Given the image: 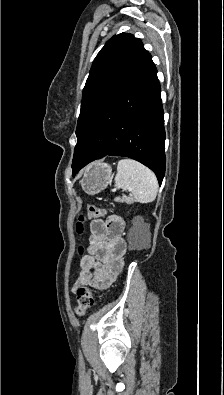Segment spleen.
Segmentation results:
<instances>
[{
  "label": "spleen",
  "mask_w": 224,
  "mask_h": 395,
  "mask_svg": "<svg viewBox=\"0 0 224 395\" xmlns=\"http://www.w3.org/2000/svg\"><path fill=\"white\" fill-rule=\"evenodd\" d=\"M115 186L129 191L134 200L149 203L155 200L158 181L155 174L146 166L132 159H121L117 165Z\"/></svg>",
  "instance_id": "1"
}]
</instances>
